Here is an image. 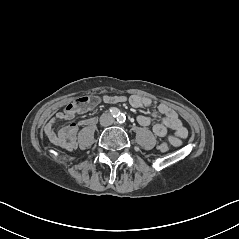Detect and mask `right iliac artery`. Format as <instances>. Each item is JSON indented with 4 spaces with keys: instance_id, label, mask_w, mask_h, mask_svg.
<instances>
[{
    "instance_id": "right-iliac-artery-1",
    "label": "right iliac artery",
    "mask_w": 239,
    "mask_h": 239,
    "mask_svg": "<svg viewBox=\"0 0 239 239\" xmlns=\"http://www.w3.org/2000/svg\"><path fill=\"white\" fill-rule=\"evenodd\" d=\"M110 112H111L112 116L115 117V118L119 117V115H120V111L115 107L111 108Z\"/></svg>"
}]
</instances>
